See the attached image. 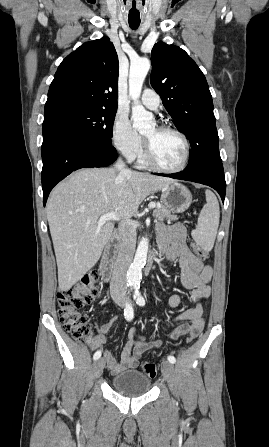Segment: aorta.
<instances>
[{
    "mask_svg": "<svg viewBox=\"0 0 269 447\" xmlns=\"http://www.w3.org/2000/svg\"><path fill=\"white\" fill-rule=\"evenodd\" d=\"M150 68L151 64L148 58L134 60V62H131L130 66L129 96H131L133 100L131 118L133 120V128L138 130V132H142V130H153V116L151 112H146L144 106L139 104L143 82ZM148 245L147 237H142L141 241L138 243L133 263L129 265L127 279L132 285H138L141 281L142 267L145 265Z\"/></svg>",
    "mask_w": 269,
    "mask_h": 447,
    "instance_id": "obj_1",
    "label": "aorta"
}]
</instances>
